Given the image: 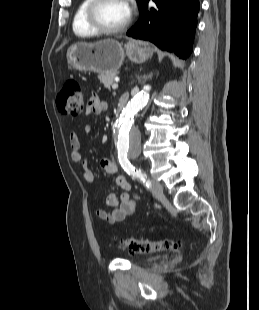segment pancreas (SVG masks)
Masks as SVG:
<instances>
[{
	"instance_id": "obj_1",
	"label": "pancreas",
	"mask_w": 259,
	"mask_h": 310,
	"mask_svg": "<svg viewBox=\"0 0 259 310\" xmlns=\"http://www.w3.org/2000/svg\"><path fill=\"white\" fill-rule=\"evenodd\" d=\"M116 75L117 73L115 72L104 73L99 76V79L104 84V86L109 89L110 86L113 84Z\"/></svg>"
}]
</instances>
